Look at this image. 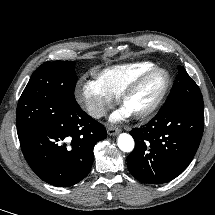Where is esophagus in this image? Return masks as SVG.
Here are the masks:
<instances>
[{"label": "esophagus", "mask_w": 215, "mask_h": 215, "mask_svg": "<svg viewBox=\"0 0 215 215\" xmlns=\"http://www.w3.org/2000/svg\"><path fill=\"white\" fill-rule=\"evenodd\" d=\"M120 131H121V130H120L119 128H117V127H112V126H110V127L107 128V133H108L109 135H111V136H114V135L119 134Z\"/></svg>", "instance_id": "1"}]
</instances>
